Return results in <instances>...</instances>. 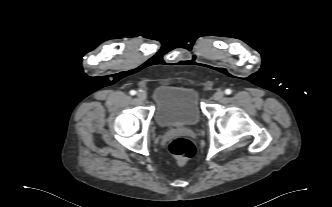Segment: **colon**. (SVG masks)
I'll list each match as a JSON object with an SVG mask.
<instances>
[{
  "mask_svg": "<svg viewBox=\"0 0 332 207\" xmlns=\"http://www.w3.org/2000/svg\"><path fill=\"white\" fill-rule=\"evenodd\" d=\"M168 149L176 159L183 163L195 155V145L185 137H177L169 143Z\"/></svg>",
  "mask_w": 332,
  "mask_h": 207,
  "instance_id": "5ec220e1",
  "label": "colon"
}]
</instances>
